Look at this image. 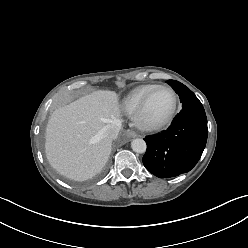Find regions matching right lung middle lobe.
I'll return each mask as SVG.
<instances>
[{
    "mask_svg": "<svg viewBox=\"0 0 248 248\" xmlns=\"http://www.w3.org/2000/svg\"><path fill=\"white\" fill-rule=\"evenodd\" d=\"M107 168L105 167L98 175H96L94 178L88 180V181H85L83 183H81L82 185H89L95 181H97L98 179H100L106 172Z\"/></svg>",
    "mask_w": 248,
    "mask_h": 248,
    "instance_id": "right-lung-middle-lobe-1",
    "label": "right lung middle lobe"
}]
</instances>
